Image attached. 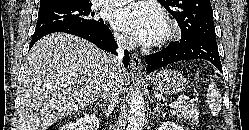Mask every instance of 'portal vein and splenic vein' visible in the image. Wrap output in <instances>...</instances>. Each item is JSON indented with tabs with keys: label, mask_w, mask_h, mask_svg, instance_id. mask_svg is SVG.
<instances>
[{
	"label": "portal vein and splenic vein",
	"mask_w": 249,
	"mask_h": 130,
	"mask_svg": "<svg viewBox=\"0 0 249 130\" xmlns=\"http://www.w3.org/2000/svg\"><path fill=\"white\" fill-rule=\"evenodd\" d=\"M185 104V100H178L177 102H174L172 104H169L170 108H178V107H182Z\"/></svg>",
	"instance_id": "portal-vein-and-splenic-vein-1"
}]
</instances>
